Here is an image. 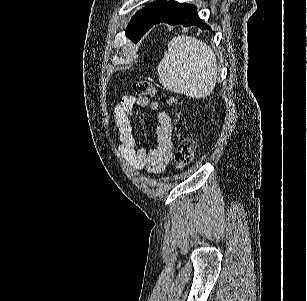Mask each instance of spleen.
Returning <instances> with one entry per match:
<instances>
[{"instance_id": "spleen-1", "label": "spleen", "mask_w": 307, "mask_h": 301, "mask_svg": "<svg viewBox=\"0 0 307 301\" xmlns=\"http://www.w3.org/2000/svg\"><path fill=\"white\" fill-rule=\"evenodd\" d=\"M218 74L216 56L204 40L179 34L168 44L158 64V78L164 88L191 98H205L213 92Z\"/></svg>"}]
</instances>
